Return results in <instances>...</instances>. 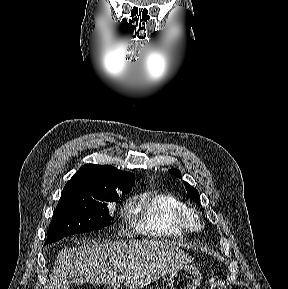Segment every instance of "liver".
Here are the masks:
<instances>
[{"instance_id": "1", "label": "liver", "mask_w": 288, "mask_h": 289, "mask_svg": "<svg viewBox=\"0 0 288 289\" xmlns=\"http://www.w3.org/2000/svg\"><path fill=\"white\" fill-rule=\"evenodd\" d=\"M192 261L187 253L167 241L88 243L59 252L49 289H69L71 272L87 282L108 284L115 289L121 284L141 289Z\"/></svg>"}]
</instances>
